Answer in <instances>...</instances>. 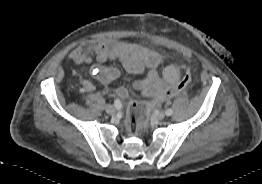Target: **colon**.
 <instances>
[{"label": "colon", "mask_w": 262, "mask_h": 184, "mask_svg": "<svg viewBox=\"0 0 262 184\" xmlns=\"http://www.w3.org/2000/svg\"><path fill=\"white\" fill-rule=\"evenodd\" d=\"M183 75L180 81L174 85L173 87L169 88L162 96L159 97L160 100L171 98V97H176L180 95L189 85L191 81V73L188 68L183 67ZM117 94L121 98H126L128 93L126 88L124 87H119L117 89ZM131 113H132V124H136V120H141L144 117V107L131 104ZM136 118V119H135Z\"/></svg>", "instance_id": "1"}]
</instances>
